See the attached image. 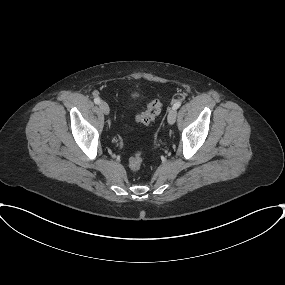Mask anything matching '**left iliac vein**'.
Returning a JSON list of instances; mask_svg holds the SVG:
<instances>
[{"label": "left iliac vein", "mask_w": 285, "mask_h": 285, "mask_svg": "<svg viewBox=\"0 0 285 285\" xmlns=\"http://www.w3.org/2000/svg\"><path fill=\"white\" fill-rule=\"evenodd\" d=\"M176 116H177V111H176V109H170V111H169V113H168V117H167V119H168V123L170 124V125H172V124H174L175 123V121H176Z\"/></svg>", "instance_id": "obj_1"}]
</instances>
